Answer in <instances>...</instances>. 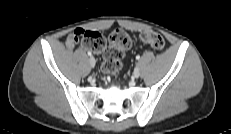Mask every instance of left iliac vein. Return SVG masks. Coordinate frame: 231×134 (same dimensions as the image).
<instances>
[{
  "label": "left iliac vein",
  "mask_w": 231,
  "mask_h": 134,
  "mask_svg": "<svg viewBox=\"0 0 231 134\" xmlns=\"http://www.w3.org/2000/svg\"><path fill=\"white\" fill-rule=\"evenodd\" d=\"M139 76H140V70H139V68H135V70L133 72V77L138 78Z\"/></svg>",
  "instance_id": "4c4485c4"
}]
</instances>
